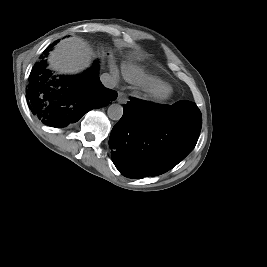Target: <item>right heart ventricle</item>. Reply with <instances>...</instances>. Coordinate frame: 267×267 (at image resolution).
Wrapping results in <instances>:
<instances>
[{"instance_id":"right-heart-ventricle-1","label":"right heart ventricle","mask_w":267,"mask_h":267,"mask_svg":"<svg viewBox=\"0 0 267 267\" xmlns=\"http://www.w3.org/2000/svg\"><path fill=\"white\" fill-rule=\"evenodd\" d=\"M123 72L126 79L134 84L145 85L150 87L165 85V83L158 77L150 75L142 71L141 69L131 65H124Z\"/></svg>"}]
</instances>
